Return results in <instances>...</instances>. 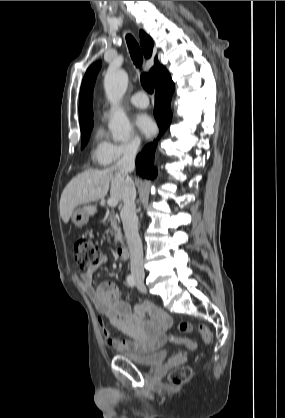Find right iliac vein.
<instances>
[{"label":"right iliac vein","instance_id":"right-iliac-vein-1","mask_svg":"<svg viewBox=\"0 0 285 418\" xmlns=\"http://www.w3.org/2000/svg\"><path fill=\"white\" fill-rule=\"evenodd\" d=\"M135 279H136L137 281H142V280H143V277H142V276H138V275H136V276H135Z\"/></svg>","mask_w":285,"mask_h":418}]
</instances>
